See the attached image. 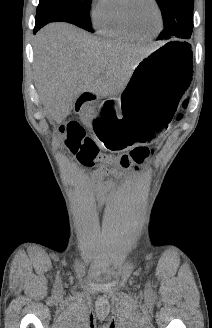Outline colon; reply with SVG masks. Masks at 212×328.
Returning a JSON list of instances; mask_svg holds the SVG:
<instances>
[{
	"instance_id": "obj_1",
	"label": "colon",
	"mask_w": 212,
	"mask_h": 328,
	"mask_svg": "<svg viewBox=\"0 0 212 328\" xmlns=\"http://www.w3.org/2000/svg\"><path fill=\"white\" fill-rule=\"evenodd\" d=\"M187 103V101L184 102V107L187 106ZM94 125L92 124L93 128ZM60 132L65 146L76 156L78 161L87 167L96 163L98 173H110L111 170L139 169L154 152L149 147L140 146L134 148L130 153H109L106 155L101 148L100 140L88 135L83 125L77 121L65 123L61 126Z\"/></svg>"
}]
</instances>
